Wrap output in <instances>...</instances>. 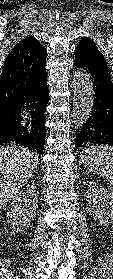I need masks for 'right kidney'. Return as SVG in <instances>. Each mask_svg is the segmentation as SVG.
I'll use <instances>...</instances> for the list:
<instances>
[{
    "label": "right kidney",
    "instance_id": "obj_1",
    "mask_svg": "<svg viewBox=\"0 0 113 279\" xmlns=\"http://www.w3.org/2000/svg\"><path fill=\"white\" fill-rule=\"evenodd\" d=\"M37 204L38 191L33 185L27 186L13 198L6 215L13 232H21L30 226L36 215Z\"/></svg>",
    "mask_w": 113,
    "mask_h": 279
}]
</instances>
